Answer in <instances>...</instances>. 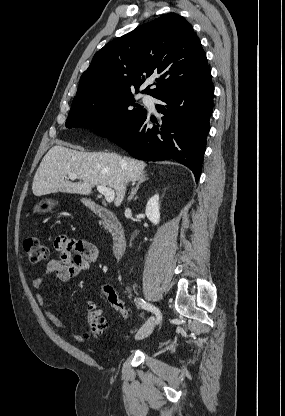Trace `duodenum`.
Instances as JSON below:
<instances>
[{"instance_id": "1", "label": "duodenum", "mask_w": 285, "mask_h": 416, "mask_svg": "<svg viewBox=\"0 0 285 416\" xmlns=\"http://www.w3.org/2000/svg\"><path fill=\"white\" fill-rule=\"evenodd\" d=\"M82 203L87 205L89 200L84 198ZM91 207L95 214L102 219L105 229L111 236L114 256L116 258H120L123 255L126 247V237L123 226L121 225L117 216L110 210L97 204H94Z\"/></svg>"}]
</instances>
